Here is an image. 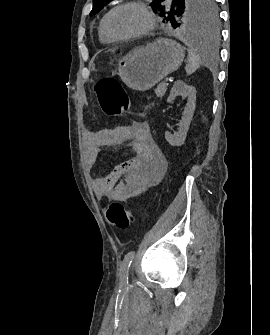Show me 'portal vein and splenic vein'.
I'll return each instance as SVG.
<instances>
[{"mask_svg":"<svg viewBox=\"0 0 270 335\" xmlns=\"http://www.w3.org/2000/svg\"><path fill=\"white\" fill-rule=\"evenodd\" d=\"M168 78H169V77H165V83L168 82Z\"/></svg>","mask_w":270,"mask_h":335,"instance_id":"obj_1","label":"portal vein and splenic vein"}]
</instances>
